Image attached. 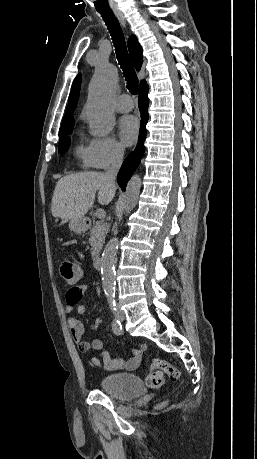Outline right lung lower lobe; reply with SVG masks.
<instances>
[{
    "instance_id": "right-lung-lower-lobe-1",
    "label": "right lung lower lobe",
    "mask_w": 257,
    "mask_h": 459,
    "mask_svg": "<svg viewBox=\"0 0 257 459\" xmlns=\"http://www.w3.org/2000/svg\"><path fill=\"white\" fill-rule=\"evenodd\" d=\"M148 85L145 81L140 83L139 86V100L138 106L141 113V127H140V134L138 139V144L135 150L124 160L120 171L117 176V181L119 186L123 191H125L127 182L130 179L131 175L133 174L134 170L140 163V160L144 154L145 147H144V139L146 136V123L148 121Z\"/></svg>"
}]
</instances>
